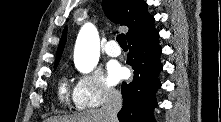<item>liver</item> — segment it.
Returning a JSON list of instances; mask_svg holds the SVG:
<instances>
[{"label": "liver", "instance_id": "1", "mask_svg": "<svg viewBox=\"0 0 221 122\" xmlns=\"http://www.w3.org/2000/svg\"><path fill=\"white\" fill-rule=\"evenodd\" d=\"M45 122H107L102 109H91L72 117L48 118Z\"/></svg>", "mask_w": 221, "mask_h": 122}]
</instances>
